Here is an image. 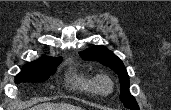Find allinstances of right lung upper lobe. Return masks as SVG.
Here are the masks:
<instances>
[{
	"label": "right lung upper lobe",
	"mask_w": 171,
	"mask_h": 110,
	"mask_svg": "<svg viewBox=\"0 0 171 110\" xmlns=\"http://www.w3.org/2000/svg\"><path fill=\"white\" fill-rule=\"evenodd\" d=\"M50 59H54V58H49L48 60H50ZM42 61H46V60L45 59H42V60H38L36 62H42Z\"/></svg>",
	"instance_id": "obj_1"
}]
</instances>
